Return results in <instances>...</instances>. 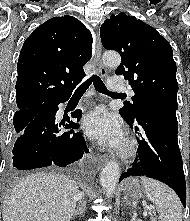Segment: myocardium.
<instances>
[{
	"label": "myocardium",
	"instance_id": "1",
	"mask_svg": "<svg viewBox=\"0 0 190 221\" xmlns=\"http://www.w3.org/2000/svg\"><path fill=\"white\" fill-rule=\"evenodd\" d=\"M138 145L131 136H126L122 144L117 148L116 155L121 159H129L137 153Z\"/></svg>",
	"mask_w": 190,
	"mask_h": 221
}]
</instances>
